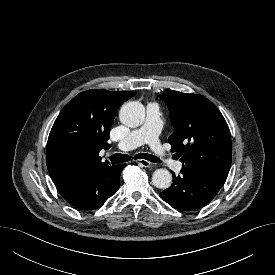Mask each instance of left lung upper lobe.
Segmentation results:
<instances>
[{
	"label": "left lung upper lobe",
	"instance_id": "5c2ea615",
	"mask_svg": "<svg viewBox=\"0 0 275 275\" xmlns=\"http://www.w3.org/2000/svg\"><path fill=\"white\" fill-rule=\"evenodd\" d=\"M167 104L175 131L169 137L184 169L226 181L232 160L229 127L218 108L202 95L168 90Z\"/></svg>",
	"mask_w": 275,
	"mask_h": 275
}]
</instances>
